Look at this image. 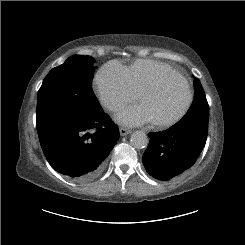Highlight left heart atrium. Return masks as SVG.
I'll return each mask as SVG.
<instances>
[{"label":"left heart atrium","mask_w":245,"mask_h":245,"mask_svg":"<svg viewBox=\"0 0 245 245\" xmlns=\"http://www.w3.org/2000/svg\"><path fill=\"white\" fill-rule=\"evenodd\" d=\"M116 121L124 126H140L152 122L145 107L139 103L125 109L116 116Z\"/></svg>","instance_id":"39dd6f15"}]
</instances>
